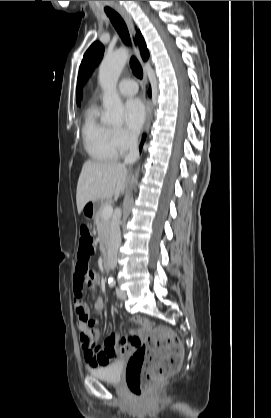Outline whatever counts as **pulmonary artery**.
<instances>
[{
  "mask_svg": "<svg viewBox=\"0 0 271 418\" xmlns=\"http://www.w3.org/2000/svg\"><path fill=\"white\" fill-rule=\"evenodd\" d=\"M118 90L124 96H133L137 93L138 86L134 80L125 78L119 82Z\"/></svg>",
  "mask_w": 271,
  "mask_h": 418,
  "instance_id": "pulmonary-artery-1",
  "label": "pulmonary artery"
}]
</instances>
